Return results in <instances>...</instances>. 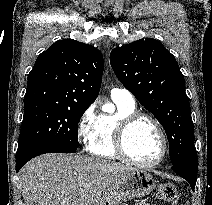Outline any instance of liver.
Segmentation results:
<instances>
[{
    "label": "liver",
    "instance_id": "obj_1",
    "mask_svg": "<svg viewBox=\"0 0 212 205\" xmlns=\"http://www.w3.org/2000/svg\"><path fill=\"white\" fill-rule=\"evenodd\" d=\"M134 169L89 156L44 154L21 169L24 205H95L111 184Z\"/></svg>",
    "mask_w": 212,
    "mask_h": 205
}]
</instances>
